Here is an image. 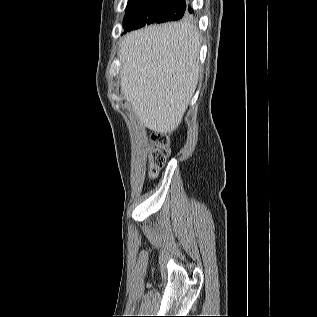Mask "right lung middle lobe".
<instances>
[{
	"mask_svg": "<svg viewBox=\"0 0 317 317\" xmlns=\"http://www.w3.org/2000/svg\"><path fill=\"white\" fill-rule=\"evenodd\" d=\"M179 0H129L123 21L124 33L152 23L188 17Z\"/></svg>",
	"mask_w": 317,
	"mask_h": 317,
	"instance_id": "right-lung-middle-lobe-1",
	"label": "right lung middle lobe"
}]
</instances>
